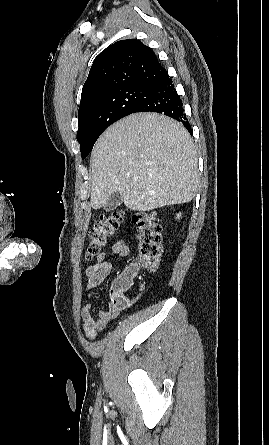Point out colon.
<instances>
[{"label": "colon", "mask_w": 269, "mask_h": 445, "mask_svg": "<svg viewBox=\"0 0 269 445\" xmlns=\"http://www.w3.org/2000/svg\"><path fill=\"white\" fill-rule=\"evenodd\" d=\"M124 218L123 211L103 214L96 221L88 234L85 258L91 261L101 253L110 239L119 229ZM137 225L136 240L138 243L137 269H154L158 266L162 253L161 226L154 212H143L133 216ZM135 273L126 269L115 279L112 291L116 294L118 302H122V295L131 287Z\"/></svg>", "instance_id": "1"}]
</instances>
